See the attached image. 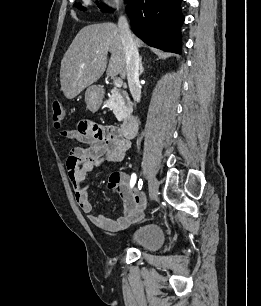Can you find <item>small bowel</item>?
<instances>
[{
	"label": "small bowel",
	"instance_id": "small-bowel-1",
	"mask_svg": "<svg viewBox=\"0 0 261 306\" xmlns=\"http://www.w3.org/2000/svg\"><path fill=\"white\" fill-rule=\"evenodd\" d=\"M62 135L78 145L71 148L66 159L67 175L74 190L75 200L88 220L98 229L116 234L139 221L143 215L145 200L132 191L131 179L121 172L118 182L109 178V187L116 190L123 200V215L116 220L93 213L88 187L84 184L87 173L96 166L119 163L125 159L130 139L124 137L115 126L82 121L75 130H65ZM112 175V174H111Z\"/></svg>",
	"mask_w": 261,
	"mask_h": 306
}]
</instances>
